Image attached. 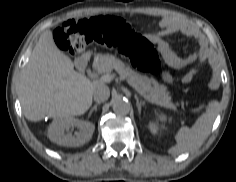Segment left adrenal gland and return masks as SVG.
<instances>
[{
	"label": "left adrenal gland",
	"mask_w": 236,
	"mask_h": 182,
	"mask_svg": "<svg viewBox=\"0 0 236 182\" xmlns=\"http://www.w3.org/2000/svg\"><path fill=\"white\" fill-rule=\"evenodd\" d=\"M135 99H136V106H137V109H138V113H139V115H140V114H141V107H142V105L145 104V102L139 100V98H138L137 95H135Z\"/></svg>",
	"instance_id": "obj_1"
}]
</instances>
